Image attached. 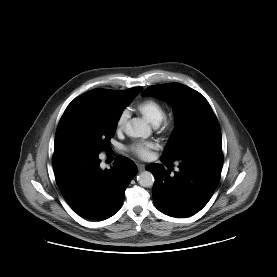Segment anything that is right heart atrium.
Returning a JSON list of instances; mask_svg holds the SVG:
<instances>
[{
    "instance_id": "right-heart-atrium-1",
    "label": "right heart atrium",
    "mask_w": 277,
    "mask_h": 277,
    "mask_svg": "<svg viewBox=\"0 0 277 277\" xmlns=\"http://www.w3.org/2000/svg\"><path fill=\"white\" fill-rule=\"evenodd\" d=\"M128 113L126 110L122 111L116 120V130L122 131L125 128L127 121Z\"/></svg>"
}]
</instances>
